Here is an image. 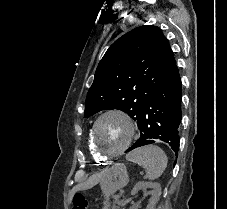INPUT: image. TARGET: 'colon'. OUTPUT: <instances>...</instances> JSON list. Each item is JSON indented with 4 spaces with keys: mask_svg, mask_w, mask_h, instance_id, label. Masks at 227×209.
Returning <instances> with one entry per match:
<instances>
[{
    "mask_svg": "<svg viewBox=\"0 0 227 209\" xmlns=\"http://www.w3.org/2000/svg\"><path fill=\"white\" fill-rule=\"evenodd\" d=\"M71 209H88V199L84 192H77L72 200Z\"/></svg>",
    "mask_w": 227,
    "mask_h": 209,
    "instance_id": "colon-1",
    "label": "colon"
}]
</instances>
